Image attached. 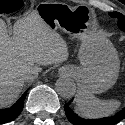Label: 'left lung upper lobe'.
<instances>
[{
  "instance_id": "obj_1",
  "label": "left lung upper lobe",
  "mask_w": 125,
  "mask_h": 125,
  "mask_svg": "<svg viewBox=\"0 0 125 125\" xmlns=\"http://www.w3.org/2000/svg\"><path fill=\"white\" fill-rule=\"evenodd\" d=\"M111 17L118 18V26L121 30L125 31V16L119 12H110Z\"/></svg>"
}]
</instances>
